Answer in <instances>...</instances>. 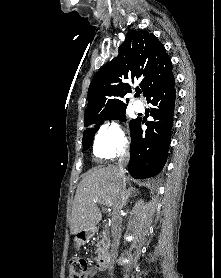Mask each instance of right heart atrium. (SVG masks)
<instances>
[{
	"mask_svg": "<svg viewBox=\"0 0 221 278\" xmlns=\"http://www.w3.org/2000/svg\"><path fill=\"white\" fill-rule=\"evenodd\" d=\"M129 142L115 120L106 121L95 134L93 153L99 159H113L126 152Z\"/></svg>",
	"mask_w": 221,
	"mask_h": 278,
	"instance_id": "right-heart-atrium-1",
	"label": "right heart atrium"
}]
</instances>
